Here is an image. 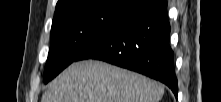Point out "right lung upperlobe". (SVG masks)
I'll return each mask as SVG.
<instances>
[{
    "label": "right lung upper lobe",
    "instance_id": "right-lung-upper-lobe-1",
    "mask_svg": "<svg viewBox=\"0 0 221 102\" xmlns=\"http://www.w3.org/2000/svg\"><path fill=\"white\" fill-rule=\"evenodd\" d=\"M83 1L86 0H58L55 9V15L67 11L69 9H72L78 6L79 4H81ZM126 1H128V3L131 6L139 10L140 8L144 7L153 0H126Z\"/></svg>",
    "mask_w": 221,
    "mask_h": 102
}]
</instances>
